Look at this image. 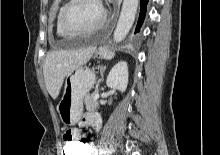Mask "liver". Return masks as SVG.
<instances>
[{
    "label": "liver",
    "instance_id": "liver-1",
    "mask_svg": "<svg viewBox=\"0 0 220 155\" xmlns=\"http://www.w3.org/2000/svg\"><path fill=\"white\" fill-rule=\"evenodd\" d=\"M95 48L78 50H56L50 52L43 64L45 85L50 96L55 100L59 96L66 76L86 64Z\"/></svg>",
    "mask_w": 220,
    "mask_h": 155
}]
</instances>
